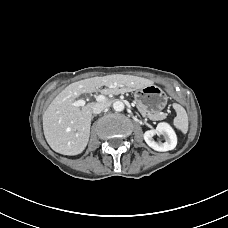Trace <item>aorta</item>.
<instances>
[{"label":"aorta","mask_w":228,"mask_h":228,"mask_svg":"<svg viewBox=\"0 0 228 228\" xmlns=\"http://www.w3.org/2000/svg\"><path fill=\"white\" fill-rule=\"evenodd\" d=\"M113 109L117 112L124 110V103L122 101H116L113 103Z\"/></svg>","instance_id":"obj_1"}]
</instances>
